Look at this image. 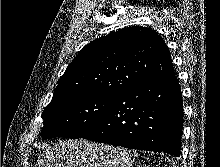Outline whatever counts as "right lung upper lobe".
Returning <instances> with one entry per match:
<instances>
[{
  "mask_svg": "<svg viewBox=\"0 0 220 167\" xmlns=\"http://www.w3.org/2000/svg\"><path fill=\"white\" fill-rule=\"evenodd\" d=\"M172 72L169 49L157 32L126 27L87 44L59 79L52 100L72 94L116 95Z\"/></svg>",
  "mask_w": 220,
  "mask_h": 167,
  "instance_id": "right-lung-upper-lobe-1",
  "label": "right lung upper lobe"
}]
</instances>
